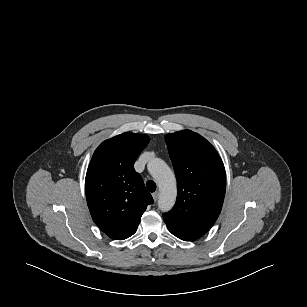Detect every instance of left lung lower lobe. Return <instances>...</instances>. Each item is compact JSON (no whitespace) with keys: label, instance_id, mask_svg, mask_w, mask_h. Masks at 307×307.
Returning a JSON list of instances; mask_svg holds the SVG:
<instances>
[{"label":"left lung lower lobe","instance_id":"0a47b994","mask_svg":"<svg viewBox=\"0 0 307 307\" xmlns=\"http://www.w3.org/2000/svg\"><path fill=\"white\" fill-rule=\"evenodd\" d=\"M173 235H175L176 237H178V238H180V239H182V240H185V241H191V240H189L188 238H186V237H184V236H181V235H179V234H177V233H175V232H173V231H171V230H169Z\"/></svg>","mask_w":307,"mask_h":307}]
</instances>
